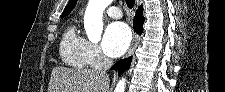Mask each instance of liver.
Returning <instances> with one entry per match:
<instances>
[{"instance_id":"liver-1","label":"liver","mask_w":225,"mask_h":92,"mask_svg":"<svg viewBox=\"0 0 225 92\" xmlns=\"http://www.w3.org/2000/svg\"><path fill=\"white\" fill-rule=\"evenodd\" d=\"M110 78L101 70L52 69L48 92H109Z\"/></svg>"}]
</instances>
